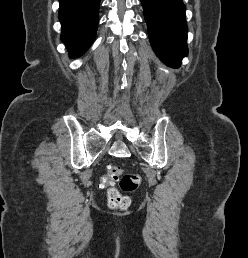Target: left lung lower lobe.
<instances>
[{"label":"left lung lower lobe","instance_id":"obj_1","mask_svg":"<svg viewBox=\"0 0 248 258\" xmlns=\"http://www.w3.org/2000/svg\"><path fill=\"white\" fill-rule=\"evenodd\" d=\"M149 38L157 56L178 66L188 49L185 5L182 0H141Z\"/></svg>","mask_w":248,"mask_h":258}]
</instances>
